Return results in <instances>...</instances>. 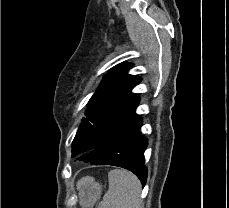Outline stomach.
<instances>
[{"label":"stomach","mask_w":229,"mask_h":208,"mask_svg":"<svg viewBox=\"0 0 229 208\" xmlns=\"http://www.w3.org/2000/svg\"><path fill=\"white\" fill-rule=\"evenodd\" d=\"M78 192L80 206L82 208H93L101 196L102 186L94 182L93 178H90L84 186L78 188Z\"/></svg>","instance_id":"0dacf381"}]
</instances>
